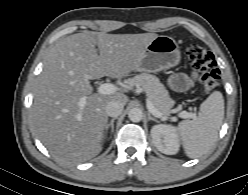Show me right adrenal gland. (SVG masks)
Listing matches in <instances>:
<instances>
[{
  "mask_svg": "<svg viewBox=\"0 0 248 195\" xmlns=\"http://www.w3.org/2000/svg\"><path fill=\"white\" fill-rule=\"evenodd\" d=\"M116 119H117V118L114 117V118L111 119L110 122H108V123L106 124V131H108V129L111 127V134H112L113 131H114V121H115Z\"/></svg>",
  "mask_w": 248,
  "mask_h": 195,
  "instance_id": "2a0ac1e0",
  "label": "right adrenal gland"
}]
</instances>
